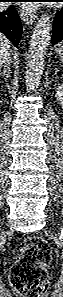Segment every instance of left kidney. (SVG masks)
<instances>
[{
    "label": "left kidney",
    "mask_w": 63,
    "mask_h": 297,
    "mask_svg": "<svg viewBox=\"0 0 63 297\" xmlns=\"http://www.w3.org/2000/svg\"><path fill=\"white\" fill-rule=\"evenodd\" d=\"M55 97L59 104H63V85L62 84L58 85Z\"/></svg>",
    "instance_id": "obj_1"
}]
</instances>
